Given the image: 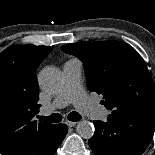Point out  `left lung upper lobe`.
I'll return each instance as SVG.
<instances>
[{
    "label": "left lung upper lobe",
    "mask_w": 155,
    "mask_h": 155,
    "mask_svg": "<svg viewBox=\"0 0 155 155\" xmlns=\"http://www.w3.org/2000/svg\"><path fill=\"white\" fill-rule=\"evenodd\" d=\"M64 52L84 63L90 91L102 94L113 115L155 114V86L139 53L125 42H78Z\"/></svg>",
    "instance_id": "5c2ea615"
}]
</instances>
